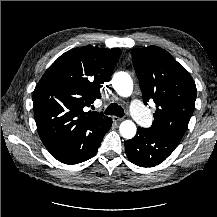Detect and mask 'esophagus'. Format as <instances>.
<instances>
[{"label": "esophagus", "mask_w": 217, "mask_h": 217, "mask_svg": "<svg viewBox=\"0 0 217 217\" xmlns=\"http://www.w3.org/2000/svg\"><path fill=\"white\" fill-rule=\"evenodd\" d=\"M112 120H113L114 123H117V122L121 121L122 118H119V117H117V116H113V117H112Z\"/></svg>", "instance_id": "obj_1"}]
</instances>
